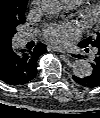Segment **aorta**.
I'll return each instance as SVG.
<instances>
[{"mask_svg":"<svg viewBox=\"0 0 100 118\" xmlns=\"http://www.w3.org/2000/svg\"><path fill=\"white\" fill-rule=\"evenodd\" d=\"M38 7L49 15H57L63 9L61 0H37ZM72 71L75 76L84 78L92 73L91 64L84 59H77L72 64Z\"/></svg>","mask_w":100,"mask_h":118,"instance_id":"obj_1","label":"aorta"}]
</instances>
